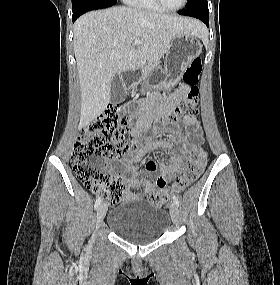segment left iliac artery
<instances>
[{
  "instance_id": "44dca946",
  "label": "left iliac artery",
  "mask_w": 280,
  "mask_h": 285,
  "mask_svg": "<svg viewBox=\"0 0 280 285\" xmlns=\"http://www.w3.org/2000/svg\"><path fill=\"white\" fill-rule=\"evenodd\" d=\"M173 201L177 206H179V200H178V197L176 195H173Z\"/></svg>"
}]
</instances>
